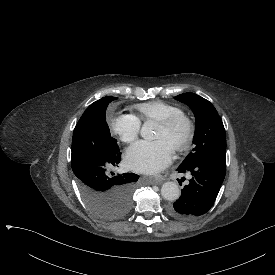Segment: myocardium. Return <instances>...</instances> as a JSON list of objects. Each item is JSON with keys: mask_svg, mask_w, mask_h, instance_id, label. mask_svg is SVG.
<instances>
[{"mask_svg": "<svg viewBox=\"0 0 275 275\" xmlns=\"http://www.w3.org/2000/svg\"><path fill=\"white\" fill-rule=\"evenodd\" d=\"M160 127L174 137L173 147L177 151H184L190 147L194 138V125L185 114L174 115L160 122Z\"/></svg>", "mask_w": 275, "mask_h": 275, "instance_id": "f54148a6", "label": "myocardium"}]
</instances>
